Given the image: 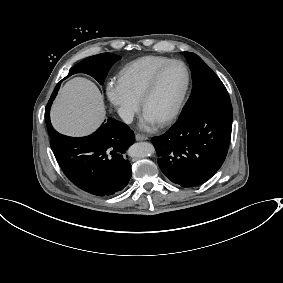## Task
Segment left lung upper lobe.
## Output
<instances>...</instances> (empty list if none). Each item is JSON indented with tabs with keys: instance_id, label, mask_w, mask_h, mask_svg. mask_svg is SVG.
<instances>
[{
	"instance_id": "obj_1",
	"label": "left lung upper lobe",
	"mask_w": 283,
	"mask_h": 283,
	"mask_svg": "<svg viewBox=\"0 0 283 283\" xmlns=\"http://www.w3.org/2000/svg\"><path fill=\"white\" fill-rule=\"evenodd\" d=\"M183 54L190 64L193 89L179 119L207 105L231 103L224 84L204 61L192 52Z\"/></svg>"
}]
</instances>
